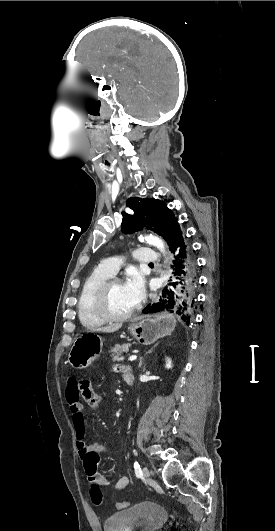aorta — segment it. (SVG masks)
I'll return each instance as SVG.
<instances>
[{
    "instance_id": "obj_1",
    "label": "aorta",
    "mask_w": 275,
    "mask_h": 531,
    "mask_svg": "<svg viewBox=\"0 0 275 531\" xmlns=\"http://www.w3.org/2000/svg\"><path fill=\"white\" fill-rule=\"evenodd\" d=\"M149 243L154 245V247H157L161 253H165V245L162 239H158V237H149Z\"/></svg>"
}]
</instances>
